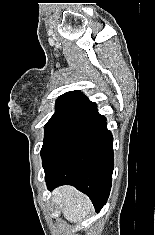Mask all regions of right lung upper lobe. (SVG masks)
I'll return each instance as SVG.
<instances>
[{"instance_id": "right-lung-upper-lobe-1", "label": "right lung upper lobe", "mask_w": 155, "mask_h": 235, "mask_svg": "<svg viewBox=\"0 0 155 235\" xmlns=\"http://www.w3.org/2000/svg\"><path fill=\"white\" fill-rule=\"evenodd\" d=\"M80 91H70L57 99L55 114L70 116L82 121L96 123L99 119L94 115V107Z\"/></svg>"}]
</instances>
